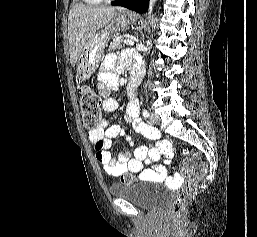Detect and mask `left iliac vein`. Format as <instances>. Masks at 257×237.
<instances>
[{"label": "left iliac vein", "instance_id": "1", "mask_svg": "<svg viewBox=\"0 0 257 237\" xmlns=\"http://www.w3.org/2000/svg\"><path fill=\"white\" fill-rule=\"evenodd\" d=\"M149 120L152 125H158L160 123V119H159L158 115L155 113L150 114Z\"/></svg>", "mask_w": 257, "mask_h": 237}]
</instances>
